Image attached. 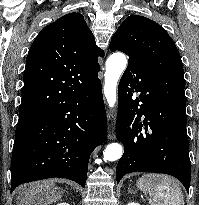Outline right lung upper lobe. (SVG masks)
Listing matches in <instances>:
<instances>
[{
    "mask_svg": "<svg viewBox=\"0 0 199 205\" xmlns=\"http://www.w3.org/2000/svg\"><path fill=\"white\" fill-rule=\"evenodd\" d=\"M104 56L84 17L66 14L43 28L32 43L24 71L19 121L54 106L98 79Z\"/></svg>",
    "mask_w": 199,
    "mask_h": 205,
    "instance_id": "cb5924a9",
    "label": "right lung upper lobe"
}]
</instances>
